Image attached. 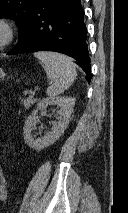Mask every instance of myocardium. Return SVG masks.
Listing matches in <instances>:
<instances>
[{
    "label": "myocardium",
    "mask_w": 128,
    "mask_h": 213,
    "mask_svg": "<svg viewBox=\"0 0 128 213\" xmlns=\"http://www.w3.org/2000/svg\"><path fill=\"white\" fill-rule=\"evenodd\" d=\"M0 27L4 31V37L0 42V50H2L13 42L16 35V30L13 23L5 17H0Z\"/></svg>",
    "instance_id": "1"
}]
</instances>
